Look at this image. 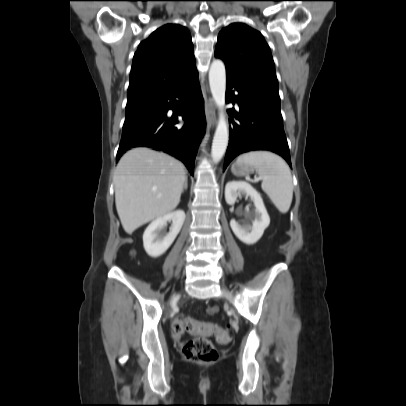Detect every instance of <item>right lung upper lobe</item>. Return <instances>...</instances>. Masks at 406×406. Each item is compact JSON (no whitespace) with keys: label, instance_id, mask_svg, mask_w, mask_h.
Segmentation results:
<instances>
[{"label":"right lung upper lobe","instance_id":"1","mask_svg":"<svg viewBox=\"0 0 406 406\" xmlns=\"http://www.w3.org/2000/svg\"><path fill=\"white\" fill-rule=\"evenodd\" d=\"M197 73L189 31L167 24L142 41L130 73L127 106L154 100Z\"/></svg>","mask_w":406,"mask_h":406}]
</instances>
